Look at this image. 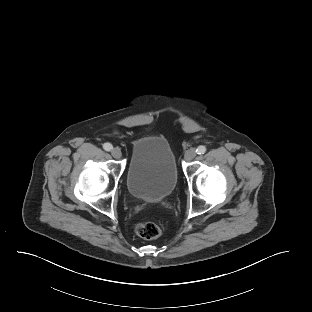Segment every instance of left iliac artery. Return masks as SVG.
I'll use <instances>...</instances> for the list:
<instances>
[{
  "label": "left iliac artery",
  "instance_id": "left-iliac-artery-1",
  "mask_svg": "<svg viewBox=\"0 0 312 312\" xmlns=\"http://www.w3.org/2000/svg\"><path fill=\"white\" fill-rule=\"evenodd\" d=\"M197 154H204L206 152V147L201 145L196 149Z\"/></svg>",
  "mask_w": 312,
  "mask_h": 312
}]
</instances>
